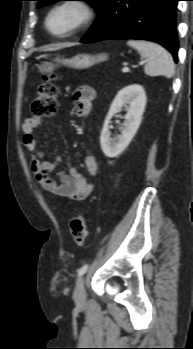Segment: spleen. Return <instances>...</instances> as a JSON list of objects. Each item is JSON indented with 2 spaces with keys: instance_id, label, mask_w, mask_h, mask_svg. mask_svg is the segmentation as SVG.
<instances>
[{
  "instance_id": "3e777b00",
  "label": "spleen",
  "mask_w": 193,
  "mask_h": 349,
  "mask_svg": "<svg viewBox=\"0 0 193 349\" xmlns=\"http://www.w3.org/2000/svg\"><path fill=\"white\" fill-rule=\"evenodd\" d=\"M127 44L148 59L144 71L149 76H164L171 78L175 72V65L171 54L162 46L143 40H129Z\"/></svg>"
}]
</instances>
